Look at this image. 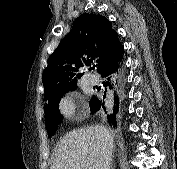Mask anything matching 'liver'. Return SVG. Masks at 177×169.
Here are the masks:
<instances>
[{
	"instance_id": "1",
	"label": "liver",
	"mask_w": 177,
	"mask_h": 169,
	"mask_svg": "<svg viewBox=\"0 0 177 169\" xmlns=\"http://www.w3.org/2000/svg\"><path fill=\"white\" fill-rule=\"evenodd\" d=\"M100 141L94 128L67 133L60 139L50 169H102Z\"/></svg>"
}]
</instances>
